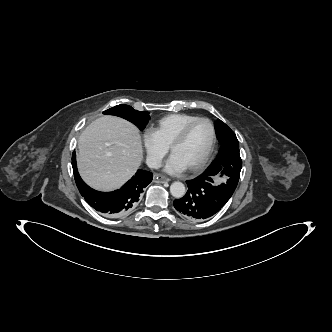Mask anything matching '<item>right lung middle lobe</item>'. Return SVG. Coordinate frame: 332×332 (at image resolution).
<instances>
[{"label":"right lung middle lobe","mask_w":332,"mask_h":332,"mask_svg":"<svg viewBox=\"0 0 332 332\" xmlns=\"http://www.w3.org/2000/svg\"><path fill=\"white\" fill-rule=\"evenodd\" d=\"M103 114L115 115L122 117L134 123L140 130L147 125L150 117L149 112L134 110L128 105H117L103 112Z\"/></svg>","instance_id":"1"}]
</instances>
